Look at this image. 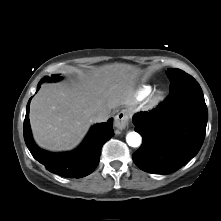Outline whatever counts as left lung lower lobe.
I'll return each instance as SVG.
<instances>
[{
	"mask_svg": "<svg viewBox=\"0 0 221 221\" xmlns=\"http://www.w3.org/2000/svg\"><path fill=\"white\" fill-rule=\"evenodd\" d=\"M207 120V106L197 81L178 86L155 109L133 116L135 131L143 138L133 161L154 174L180 169L200 150Z\"/></svg>",
	"mask_w": 221,
	"mask_h": 221,
	"instance_id": "left-lung-lower-lobe-1",
	"label": "left lung lower lobe"
}]
</instances>
